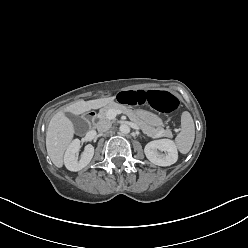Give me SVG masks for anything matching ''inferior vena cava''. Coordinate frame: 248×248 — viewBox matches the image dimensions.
Listing matches in <instances>:
<instances>
[{
	"label": "inferior vena cava",
	"mask_w": 248,
	"mask_h": 248,
	"mask_svg": "<svg viewBox=\"0 0 248 248\" xmlns=\"http://www.w3.org/2000/svg\"><path fill=\"white\" fill-rule=\"evenodd\" d=\"M111 126H112V124H111L110 121H108V120H100L97 123V130L99 132H106L111 128Z\"/></svg>",
	"instance_id": "602c4592"
}]
</instances>
